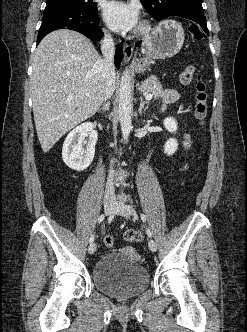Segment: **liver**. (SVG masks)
Masks as SVG:
<instances>
[{"mask_svg": "<svg viewBox=\"0 0 247 332\" xmlns=\"http://www.w3.org/2000/svg\"><path fill=\"white\" fill-rule=\"evenodd\" d=\"M32 66L34 121L41 148L48 152L100 108L106 87L102 59L85 36L61 29L40 42Z\"/></svg>", "mask_w": 247, "mask_h": 332, "instance_id": "liver-1", "label": "liver"}]
</instances>
